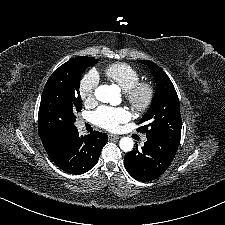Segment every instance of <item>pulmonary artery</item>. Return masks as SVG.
Returning <instances> with one entry per match:
<instances>
[{
	"instance_id": "e3ab8cb5",
	"label": "pulmonary artery",
	"mask_w": 225,
	"mask_h": 225,
	"mask_svg": "<svg viewBox=\"0 0 225 225\" xmlns=\"http://www.w3.org/2000/svg\"><path fill=\"white\" fill-rule=\"evenodd\" d=\"M82 125H83V123H82V122H80V123H79V126L81 127Z\"/></svg>"
}]
</instances>
